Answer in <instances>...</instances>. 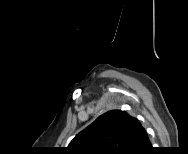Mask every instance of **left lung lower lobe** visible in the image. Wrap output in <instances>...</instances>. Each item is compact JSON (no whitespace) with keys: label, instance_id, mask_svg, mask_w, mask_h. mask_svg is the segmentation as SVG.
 <instances>
[{"label":"left lung lower lobe","instance_id":"left-lung-lower-lobe-1","mask_svg":"<svg viewBox=\"0 0 188 154\" xmlns=\"http://www.w3.org/2000/svg\"><path fill=\"white\" fill-rule=\"evenodd\" d=\"M150 148V141L145 129L141 126L140 122L136 119L133 139L130 145L129 154H137Z\"/></svg>","mask_w":188,"mask_h":154}]
</instances>
